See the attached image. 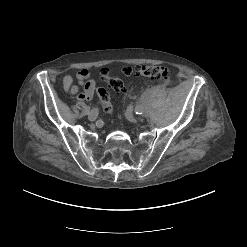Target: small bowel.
Returning <instances> with one entry per match:
<instances>
[{
	"instance_id": "obj_1",
	"label": "small bowel",
	"mask_w": 247,
	"mask_h": 247,
	"mask_svg": "<svg viewBox=\"0 0 247 247\" xmlns=\"http://www.w3.org/2000/svg\"><path fill=\"white\" fill-rule=\"evenodd\" d=\"M78 84H74L73 78L66 75L63 78V87L70 94H78L77 98L81 101H89L92 99L95 92V81L91 78L90 72L87 69H81L76 74ZM80 88L83 89L82 92Z\"/></svg>"
}]
</instances>
